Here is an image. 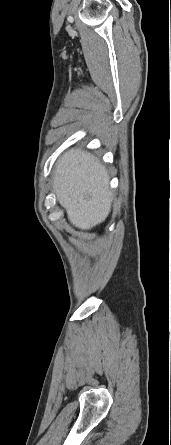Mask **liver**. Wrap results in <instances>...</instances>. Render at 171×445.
<instances>
[{
    "mask_svg": "<svg viewBox=\"0 0 171 445\" xmlns=\"http://www.w3.org/2000/svg\"><path fill=\"white\" fill-rule=\"evenodd\" d=\"M105 166L80 149L65 152L56 163L54 191L69 221L82 230L107 218L112 203Z\"/></svg>",
    "mask_w": 171,
    "mask_h": 445,
    "instance_id": "1",
    "label": "liver"
}]
</instances>
